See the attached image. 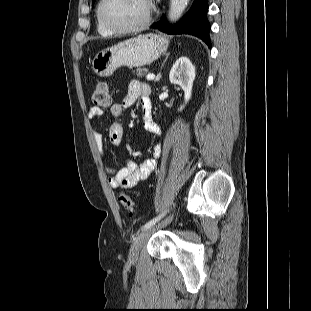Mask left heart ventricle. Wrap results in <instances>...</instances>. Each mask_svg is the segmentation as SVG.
<instances>
[{
    "instance_id": "1",
    "label": "left heart ventricle",
    "mask_w": 311,
    "mask_h": 311,
    "mask_svg": "<svg viewBox=\"0 0 311 311\" xmlns=\"http://www.w3.org/2000/svg\"><path fill=\"white\" fill-rule=\"evenodd\" d=\"M106 18L119 27H131L143 20L147 13L146 0H108Z\"/></svg>"
}]
</instances>
